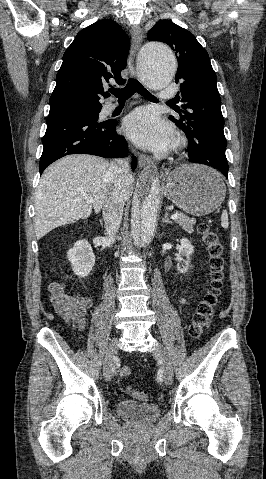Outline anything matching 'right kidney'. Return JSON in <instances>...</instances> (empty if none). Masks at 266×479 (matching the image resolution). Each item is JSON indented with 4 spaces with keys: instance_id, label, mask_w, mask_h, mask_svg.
Masks as SVG:
<instances>
[{
    "instance_id": "ca27d5eb",
    "label": "right kidney",
    "mask_w": 266,
    "mask_h": 479,
    "mask_svg": "<svg viewBox=\"0 0 266 479\" xmlns=\"http://www.w3.org/2000/svg\"><path fill=\"white\" fill-rule=\"evenodd\" d=\"M67 254L74 274L82 278L87 277L95 264V256L88 241H77Z\"/></svg>"
}]
</instances>
